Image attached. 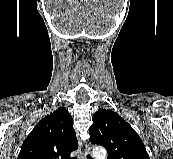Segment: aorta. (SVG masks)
<instances>
[{
	"mask_svg": "<svg viewBox=\"0 0 173 159\" xmlns=\"http://www.w3.org/2000/svg\"><path fill=\"white\" fill-rule=\"evenodd\" d=\"M93 156L95 159H106L107 152L102 147H96L93 150Z\"/></svg>",
	"mask_w": 173,
	"mask_h": 159,
	"instance_id": "aorta-1",
	"label": "aorta"
}]
</instances>
